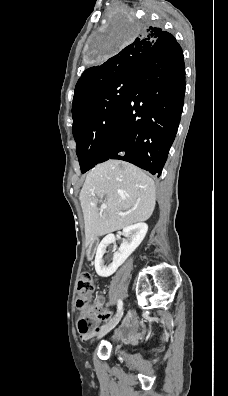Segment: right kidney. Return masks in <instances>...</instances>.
<instances>
[{
	"mask_svg": "<svg viewBox=\"0 0 228 396\" xmlns=\"http://www.w3.org/2000/svg\"><path fill=\"white\" fill-rule=\"evenodd\" d=\"M147 231V224L142 222L125 227L123 229V236L127 239L123 240L118 252L114 254L113 261L109 266L104 265L103 255L106 252V247L112 242H115L116 238L113 234H109L104 237L97 248L94 260L96 273L101 277L111 276L141 244Z\"/></svg>",
	"mask_w": 228,
	"mask_h": 396,
	"instance_id": "right-kidney-1",
	"label": "right kidney"
}]
</instances>
